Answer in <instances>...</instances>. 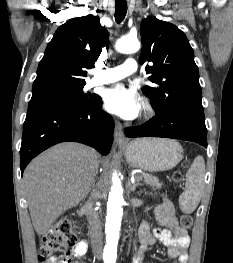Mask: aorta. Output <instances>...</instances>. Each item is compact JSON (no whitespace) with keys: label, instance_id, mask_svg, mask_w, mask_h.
I'll list each match as a JSON object with an SVG mask.
<instances>
[{"label":"aorta","instance_id":"aorta-1","mask_svg":"<svg viewBox=\"0 0 233 263\" xmlns=\"http://www.w3.org/2000/svg\"><path fill=\"white\" fill-rule=\"evenodd\" d=\"M140 49L137 38L125 36L116 42V50L120 53H134ZM107 216L105 224L106 246L104 257L114 260L117 255V245L123 215V188L116 175H113L112 184L107 187Z\"/></svg>","mask_w":233,"mask_h":263}]
</instances>
